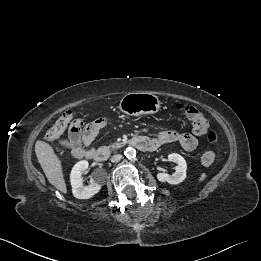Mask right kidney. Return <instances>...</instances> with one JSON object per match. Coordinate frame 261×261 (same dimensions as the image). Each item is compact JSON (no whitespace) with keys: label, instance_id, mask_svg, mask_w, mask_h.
Returning <instances> with one entry per match:
<instances>
[{"label":"right kidney","instance_id":"right-kidney-1","mask_svg":"<svg viewBox=\"0 0 261 261\" xmlns=\"http://www.w3.org/2000/svg\"><path fill=\"white\" fill-rule=\"evenodd\" d=\"M88 161L82 160L74 165L70 174V182L72 186V193L78 199H89L97 194L103 183L104 177L95 175L90 182V185L84 186L82 179V172L88 168Z\"/></svg>","mask_w":261,"mask_h":261}]
</instances>
